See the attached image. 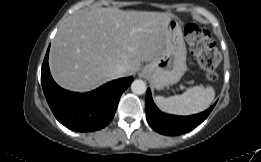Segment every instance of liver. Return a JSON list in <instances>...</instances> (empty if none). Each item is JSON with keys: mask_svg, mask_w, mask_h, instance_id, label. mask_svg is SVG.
<instances>
[{"mask_svg": "<svg viewBox=\"0 0 261 162\" xmlns=\"http://www.w3.org/2000/svg\"><path fill=\"white\" fill-rule=\"evenodd\" d=\"M172 13L92 8L69 16L52 41L49 66L63 88L86 92L116 79L113 70L138 71L165 47Z\"/></svg>", "mask_w": 261, "mask_h": 162, "instance_id": "1", "label": "liver"}]
</instances>
